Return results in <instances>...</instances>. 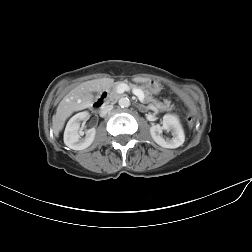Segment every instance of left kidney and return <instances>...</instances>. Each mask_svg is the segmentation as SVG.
Returning <instances> with one entry per match:
<instances>
[{
    "mask_svg": "<svg viewBox=\"0 0 252 252\" xmlns=\"http://www.w3.org/2000/svg\"><path fill=\"white\" fill-rule=\"evenodd\" d=\"M163 125H152L150 128V134L153 140L164 148L174 149L181 146L184 143L185 136L180 121L176 115L166 114L163 117ZM163 130L172 132L173 137L164 138L162 136Z\"/></svg>",
    "mask_w": 252,
    "mask_h": 252,
    "instance_id": "1",
    "label": "left kidney"
}]
</instances>
